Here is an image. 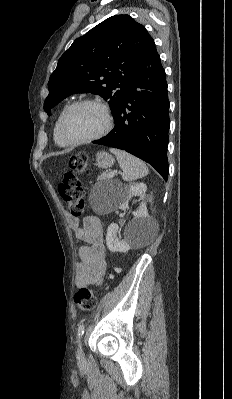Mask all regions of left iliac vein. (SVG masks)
Returning <instances> with one entry per match:
<instances>
[{
  "label": "left iliac vein",
  "mask_w": 232,
  "mask_h": 399,
  "mask_svg": "<svg viewBox=\"0 0 232 399\" xmlns=\"http://www.w3.org/2000/svg\"><path fill=\"white\" fill-rule=\"evenodd\" d=\"M82 344H83V338L79 337L78 338L77 349H76V352H77L78 356H83L84 355V350L82 349Z\"/></svg>",
  "instance_id": "left-iliac-vein-1"
}]
</instances>
